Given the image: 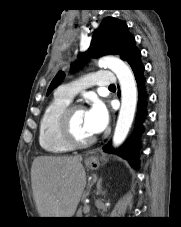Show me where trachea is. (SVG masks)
Listing matches in <instances>:
<instances>
[{
	"label": "trachea",
	"instance_id": "obj_1",
	"mask_svg": "<svg viewBox=\"0 0 181 227\" xmlns=\"http://www.w3.org/2000/svg\"><path fill=\"white\" fill-rule=\"evenodd\" d=\"M116 86L115 85H110L109 88H115Z\"/></svg>",
	"mask_w": 181,
	"mask_h": 227
}]
</instances>
